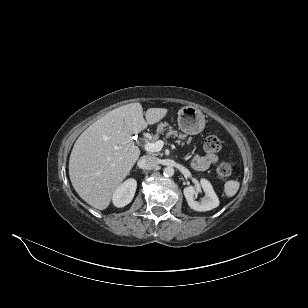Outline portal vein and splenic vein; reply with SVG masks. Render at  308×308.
Masks as SVG:
<instances>
[{
  "mask_svg": "<svg viewBox=\"0 0 308 308\" xmlns=\"http://www.w3.org/2000/svg\"><path fill=\"white\" fill-rule=\"evenodd\" d=\"M164 145H165L164 141L158 140L154 143H150V142L146 143L144 145V148L148 152H159L163 148Z\"/></svg>",
  "mask_w": 308,
  "mask_h": 308,
  "instance_id": "obj_1",
  "label": "portal vein and splenic vein"
}]
</instances>
